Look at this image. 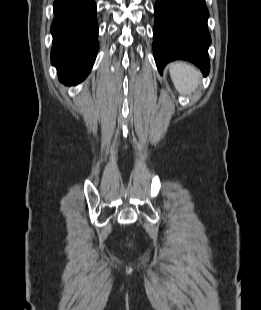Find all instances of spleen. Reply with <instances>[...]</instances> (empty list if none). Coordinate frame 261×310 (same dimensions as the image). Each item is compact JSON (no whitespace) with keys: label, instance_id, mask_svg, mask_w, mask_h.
<instances>
[{"label":"spleen","instance_id":"spleen-1","mask_svg":"<svg viewBox=\"0 0 261 310\" xmlns=\"http://www.w3.org/2000/svg\"><path fill=\"white\" fill-rule=\"evenodd\" d=\"M170 77L177 91L190 95L200 84V71L186 62H174L169 67Z\"/></svg>","mask_w":261,"mask_h":310}]
</instances>
